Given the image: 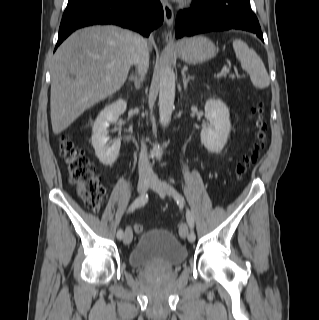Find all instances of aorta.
I'll use <instances>...</instances> for the list:
<instances>
[{
	"label": "aorta",
	"instance_id": "aorta-1",
	"mask_svg": "<svg viewBox=\"0 0 319 320\" xmlns=\"http://www.w3.org/2000/svg\"><path fill=\"white\" fill-rule=\"evenodd\" d=\"M175 98V74L169 64L161 69L159 83V117L160 123L166 125L170 118L174 107Z\"/></svg>",
	"mask_w": 319,
	"mask_h": 320
}]
</instances>
